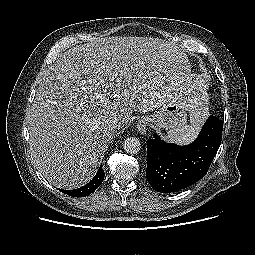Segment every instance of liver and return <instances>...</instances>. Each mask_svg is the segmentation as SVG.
Masks as SVG:
<instances>
[{
    "mask_svg": "<svg viewBox=\"0 0 255 255\" xmlns=\"http://www.w3.org/2000/svg\"><path fill=\"white\" fill-rule=\"evenodd\" d=\"M191 74L187 54L152 37H106L76 45L48 69L28 118L30 150L52 185L72 189L89 181L115 135L133 111L147 113L173 96L191 118L199 112L203 82Z\"/></svg>",
    "mask_w": 255,
    "mask_h": 255,
    "instance_id": "liver-1",
    "label": "liver"
}]
</instances>
